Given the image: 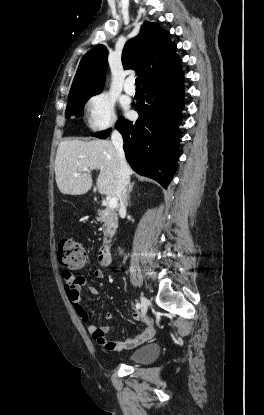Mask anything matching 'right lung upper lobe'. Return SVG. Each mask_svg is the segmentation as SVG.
Wrapping results in <instances>:
<instances>
[{
    "label": "right lung upper lobe",
    "mask_w": 264,
    "mask_h": 415,
    "mask_svg": "<svg viewBox=\"0 0 264 415\" xmlns=\"http://www.w3.org/2000/svg\"><path fill=\"white\" fill-rule=\"evenodd\" d=\"M107 54V48L100 44L82 57L69 97L102 92ZM122 62L127 69H136L142 86L169 78L182 70L181 59L176 54V45L170 40L169 32L148 21L144 22L139 34L125 44Z\"/></svg>",
    "instance_id": "right-lung-upper-lobe-1"
}]
</instances>
